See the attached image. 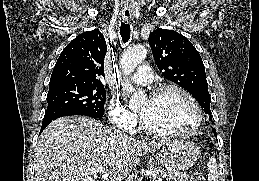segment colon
Returning <instances> with one entry per match:
<instances>
[{"label": "colon", "mask_w": 259, "mask_h": 181, "mask_svg": "<svg viewBox=\"0 0 259 181\" xmlns=\"http://www.w3.org/2000/svg\"><path fill=\"white\" fill-rule=\"evenodd\" d=\"M192 181H205L203 175L200 172H196L193 177Z\"/></svg>", "instance_id": "colon-1"}]
</instances>
